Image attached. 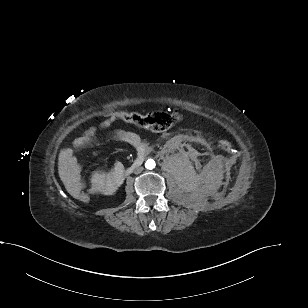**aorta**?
I'll use <instances>...</instances> for the list:
<instances>
[{
	"instance_id": "obj_1",
	"label": "aorta",
	"mask_w": 308,
	"mask_h": 308,
	"mask_svg": "<svg viewBox=\"0 0 308 308\" xmlns=\"http://www.w3.org/2000/svg\"><path fill=\"white\" fill-rule=\"evenodd\" d=\"M155 166H156V163H155V161H154L153 159H148V160L146 161V163H145V167H146L147 169H149V170L154 169Z\"/></svg>"
}]
</instances>
